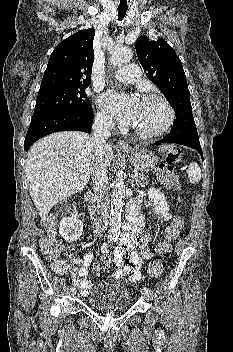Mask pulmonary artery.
<instances>
[{
    "label": "pulmonary artery",
    "mask_w": 233,
    "mask_h": 352,
    "mask_svg": "<svg viewBox=\"0 0 233 352\" xmlns=\"http://www.w3.org/2000/svg\"><path fill=\"white\" fill-rule=\"evenodd\" d=\"M114 77L125 83H133L139 79L140 70L138 66L129 64L115 71Z\"/></svg>",
    "instance_id": "e3ab8cb5"
}]
</instances>
